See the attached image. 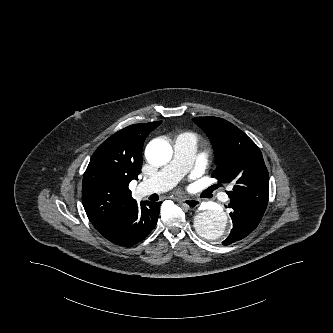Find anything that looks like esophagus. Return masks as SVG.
Segmentation results:
<instances>
[{"label": "esophagus", "mask_w": 333, "mask_h": 333, "mask_svg": "<svg viewBox=\"0 0 333 333\" xmlns=\"http://www.w3.org/2000/svg\"><path fill=\"white\" fill-rule=\"evenodd\" d=\"M200 200L198 199H190V198H182L180 199V203L187 207L188 209L194 210L200 205Z\"/></svg>", "instance_id": "34e87169"}]
</instances>
